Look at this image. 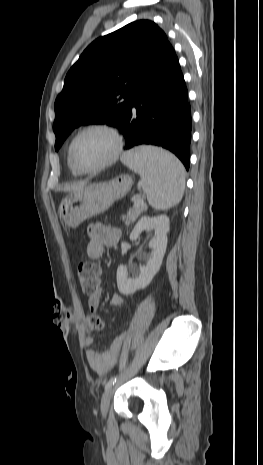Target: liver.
Here are the masks:
<instances>
[{"label": "liver", "instance_id": "1", "mask_svg": "<svg viewBox=\"0 0 263 465\" xmlns=\"http://www.w3.org/2000/svg\"><path fill=\"white\" fill-rule=\"evenodd\" d=\"M86 184H87V182H81V183H77V184H73V185H70V186L63 187V188H61L59 190H62V191H65V192L79 191L82 188H84L86 186Z\"/></svg>", "mask_w": 263, "mask_h": 465}]
</instances>
